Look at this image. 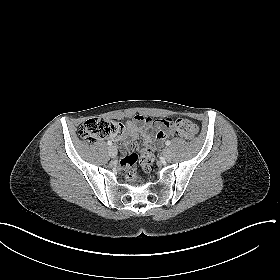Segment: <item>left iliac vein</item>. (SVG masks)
I'll use <instances>...</instances> for the list:
<instances>
[{"mask_svg": "<svg viewBox=\"0 0 280 280\" xmlns=\"http://www.w3.org/2000/svg\"><path fill=\"white\" fill-rule=\"evenodd\" d=\"M163 158L166 161H170L172 158V152L169 148H165L162 152Z\"/></svg>", "mask_w": 280, "mask_h": 280, "instance_id": "left-iliac-vein-1", "label": "left iliac vein"}]
</instances>
